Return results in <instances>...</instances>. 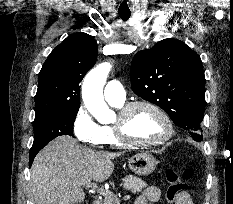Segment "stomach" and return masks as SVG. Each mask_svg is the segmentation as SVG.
Returning <instances> with one entry per match:
<instances>
[{
	"mask_svg": "<svg viewBox=\"0 0 233 204\" xmlns=\"http://www.w3.org/2000/svg\"><path fill=\"white\" fill-rule=\"evenodd\" d=\"M157 163V160L148 152L138 153L128 160L131 171L140 176L151 174L155 170Z\"/></svg>",
	"mask_w": 233,
	"mask_h": 204,
	"instance_id": "0dacf381",
	"label": "stomach"
}]
</instances>
